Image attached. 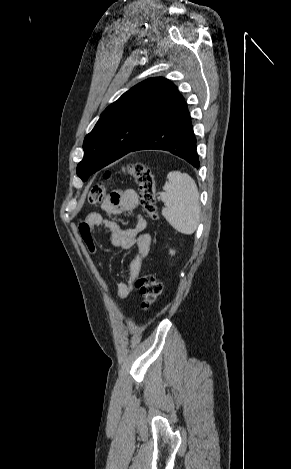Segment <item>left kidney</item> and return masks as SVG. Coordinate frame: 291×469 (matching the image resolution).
<instances>
[{"label":"left kidney","mask_w":291,"mask_h":469,"mask_svg":"<svg viewBox=\"0 0 291 469\" xmlns=\"http://www.w3.org/2000/svg\"><path fill=\"white\" fill-rule=\"evenodd\" d=\"M170 253L173 255L175 252L171 250Z\"/></svg>","instance_id":"1"}]
</instances>
